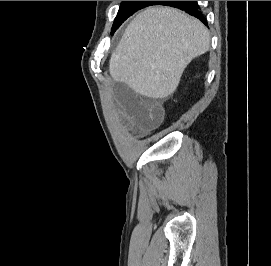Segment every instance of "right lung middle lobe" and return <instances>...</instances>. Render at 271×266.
Returning a JSON list of instances; mask_svg holds the SVG:
<instances>
[{
    "instance_id": "right-lung-middle-lobe-1",
    "label": "right lung middle lobe",
    "mask_w": 271,
    "mask_h": 266,
    "mask_svg": "<svg viewBox=\"0 0 271 266\" xmlns=\"http://www.w3.org/2000/svg\"><path fill=\"white\" fill-rule=\"evenodd\" d=\"M157 3L158 1H122L112 26L111 35H113L120 25L136 11L147 6L156 5Z\"/></svg>"
}]
</instances>
